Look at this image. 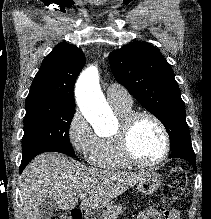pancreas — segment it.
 <instances>
[{
    "label": "pancreas",
    "instance_id": "1",
    "mask_svg": "<svg viewBox=\"0 0 211 219\" xmlns=\"http://www.w3.org/2000/svg\"><path fill=\"white\" fill-rule=\"evenodd\" d=\"M124 210H126V208H123L121 205L115 206L108 215L103 216L101 219H117Z\"/></svg>",
    "mask_w": 211,
    "mask_h": 219
}]
</instances>
